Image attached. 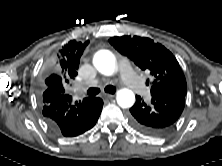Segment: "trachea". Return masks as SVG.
<instances>
[{
	"label": "trachea",
	"mask_w": 222,
	"mask_h": 166,
	"mask_svg": "<svg viewBox=\"0 0 222 166\" xmlns=\"http://www.w3.org/2000/svg\"><path fill=\"white\" fill-rule=\"evenodd\" d=\"M115 91H116V88L112 85H108L105 87V92H107V93L114 94ZM99 92H100V89H98V88H89L87 90V94L92 97L97 95Z\"/></svg>",
	"instance_id": "3493384b"
}]
</instances>
